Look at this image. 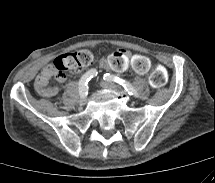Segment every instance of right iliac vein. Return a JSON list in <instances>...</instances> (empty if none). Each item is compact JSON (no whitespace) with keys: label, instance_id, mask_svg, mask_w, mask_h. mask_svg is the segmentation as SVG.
I'll use <instances>...</instances> for the list:
<instances>
[{"label":"right iliac vein","instance_id":"63e3f726","mask_svg":"<svg viewBox=\"0 0 215 183\" xmlns=\"http://www.w3.org/2000/svg\"><path fill=\"white\" fill-rule=\"evenodd\" d=\"M79 103L80 105H84L86 103V96H81Z\"/></svg>","mask_w":215,"mask_h":183}]
</instances>
